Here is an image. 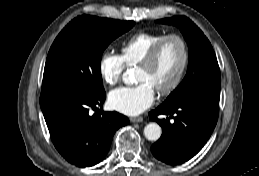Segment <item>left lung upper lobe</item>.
I'll return each mask as SVG.
<instances>
[{
    "mask_svg": "<svg viewBox=\"0 0 259 176\" xmlns=\"http://www.w3.org/2000/svg\"><path fill=\"white\" fill-rule=\"evenodd\" d=\"M158 22L177 26L189 49L187 74L161 105L171 106L196 97L219 101L220 69L214 50L203 32L185 16L160 19Z\"/></svg>",
    "mask_w": 259,
    "mask_h": 176,
    "instance_id": "obj_1",
    "label": "left lung upper lobe"
}]
</instances>
